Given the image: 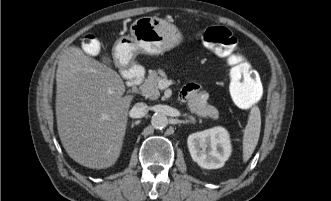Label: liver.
Masks as SVG:
<instances>
[{
  "instance_id": "liver-1",
  "label": "liver",
  "mask_w": 331,
  "mask_h": 201,
  "mask_svg": "<svg viewBox=\"0 0 331 201\" xmlns=\"http://www.w3.org/2000/svg\"><path fill=\"white\" fill-rule=\"evenodd\" d=\"M56 119L67 154L82 166L105 169L120 156L133 96L110 67L70 47L59 57Z\"/></svg>"
}]
</instances>
